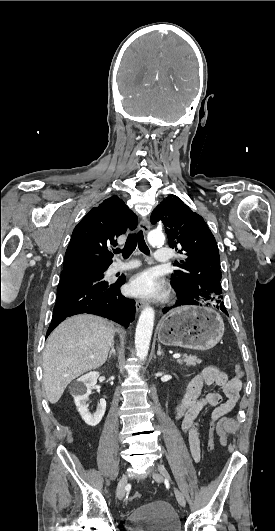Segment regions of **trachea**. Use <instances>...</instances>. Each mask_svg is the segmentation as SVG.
<instances>
[{
	"label": "trachea",
	"mask_w": 275,
	"mask_h": 531,
	"mask_svg": "<svg viewBox=\"0 0 275 531\" xmlns=\"http://www.w3.org/2000/svg\"><path fill=\"white\" fill-rule=\"evenodd\" d=\"M138 245L139 250L146 254L147 256L150 255V251L148 246L146 245V242L143 237V232L139 231L137 234H129L125 246L122 250L119 248L114 249V253H122L123 258L127 259L129 256L133 253V251L136 249V246Z\"/></svg>",
	"instance_id": "obj_1"
}]
</instances>
